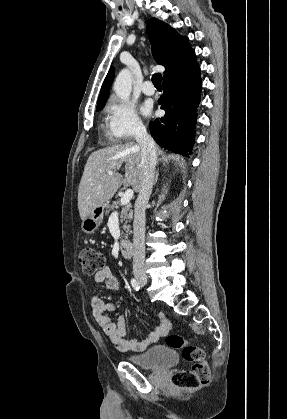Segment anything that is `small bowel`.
<instances>
[{
	"instance_id": "small-bowel-1",
	"label": "small bowel",
	"mask_w": 287,
	"mask_h": 419,
	"mask_svg": "<svg viewBox=\"0 0 287 419\" xmlns=\"http://www.w3.org/2000/svg\"><path fill=\"white\" fill-rule=\"evenodd\" d=\"M94 281L97 285H106L109 289L117 290L118 282L111 269L105 267L95 274ZM113 303L105 302L99 296L91 298V311L96 323L102 328L105 335L120 351L140 352L165 337L171 329V323L163 312L157 314L159 326L154 332L142 339H126L127 324L125 318L119 315L113 321L106 312L114 311Z\"/></svg>"
}]
</instances>
